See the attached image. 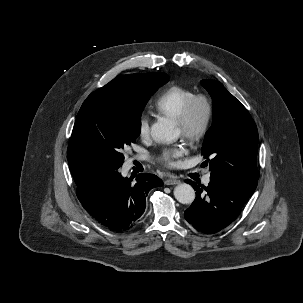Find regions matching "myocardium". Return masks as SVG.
I'll list each match as a JSON object with an SVG mask.
<instances>
[{
  "label": "myocardium",
  "mask_w": 303,
  "mask_h": 303,
  "mask_svg": "<svg viewBox=\"0 0 303 303\" xmlns=\"http://www.w3.org/2000/svg\"><path fill=\"white\" fill-rule=\"evenodd\" d=\"M201 106L203 113L196 117V110ZM214 113L213 103L204 94L194 95L176 118L182 135L191 142H199L207 133Z\"/></svg>",
  "instance_id": "f54148a6"
}]
</instances>
